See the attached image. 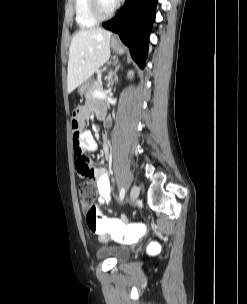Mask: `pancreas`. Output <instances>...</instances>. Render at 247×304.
Here are the masks:
<instances>
[{
  "mask_svg": "<svg viewBox=\"0 0 247 304\" xmlns=\"http://www.w3.org/2000/svg\"><path fill=\"white\" fill-rule=\"evenodd\" d=\"M96 90L104 91L100 81H94L91 84L82 87L80 92L84 93L86 99H92L94 98L93 92Z\"/></svg>",
  "mask_w": 247,
  "mask_h": 304,
  "instance_id": "cf45deb5",
  "label": "pancreas"
}]
</instances>
